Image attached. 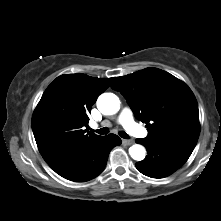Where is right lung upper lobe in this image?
Returning <instances> with one entry per match:
<instances>
[{
	"label": "right lung upper lobe",
	"mask_w": 221,
	"mask_h": 221,
	"mask_svg": "<svg viewBox=\"0 0 221 221\" xmlns=\"http://www.w3.org/2000/svg\"><path fill=\"white\" fill-rule=\"evenodd\" d=\"M85 74L57 77L45 90L33 116L32 130L46 162L74 153L100 136L88 132L92 105L114 81Z\"/></svg>",
	"instance_id": "1"
}]
</instances>
